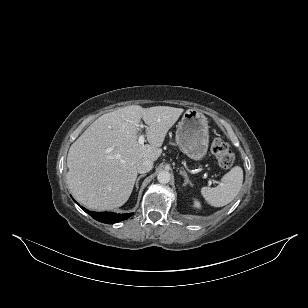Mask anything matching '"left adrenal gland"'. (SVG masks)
Returning a JSON list of instances; mask_svg holds the SVG:
<instances>
[{"label": "left adrenal gland", "mask_w": 308, "mask_h": 308, "mask_svg": "<svg viewBox=\"0 0 308 308\" xmlns=\"http://www.w3.org/2000/svg\"><path fill=\"white\" fill-rule=\"evenodd\" d=\"M180 174L185 178L183 186H187L188 184L190 186H193L191 181L189 180V177H188L187 173L185 171L180 170Z\"/></svg>", "instance_id": "obj_1"}]
</instances>
